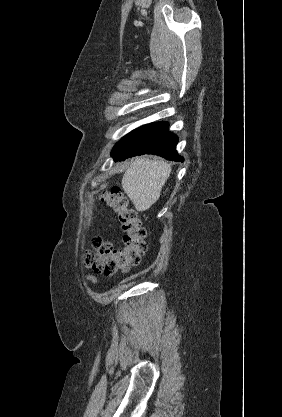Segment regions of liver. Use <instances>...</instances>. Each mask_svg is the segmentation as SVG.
Segmentation results:
<instances>
[{
  "instance_id": "6515ba94",
  "label": "liver",
  "mask_w": 282,
  "mask_h": 417,
  "mask_svg": "<svg viewBox=\"0 0 282 417\" xmlns=\"http://www.w3.org/2000/svg\"><path fill=\"white\" fill-rule=\"evenodd\" d=\"M171 166L163 160L138 156L122 178V188L133 202L136 211H147L158 200L171 174Z\"/></svg>"
}]
</instances>
